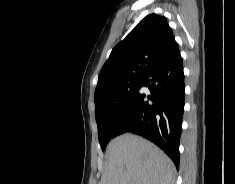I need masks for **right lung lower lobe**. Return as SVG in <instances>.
I'll return each instance as SVG.
<instances>
[{
	"label": "right lung lower lobe",
	"instance_id": "obj_1",
	"mask_svg": "<svg viewBox=\"0 0 235 184\" xmlns=\"http://www.w3.org/2000/svg\"><path fill=\"white\" fill-rule=\"evenodd\" d=\"M178 50L156 65L143 79L151 96L138 92L116 129V136L134 133L159 146L179 168L185 84ZM148 98L150 102L146 100Z\"/></svg>",
	"mask_w": 235,
	"mask_h": 184
}]
</instances>
